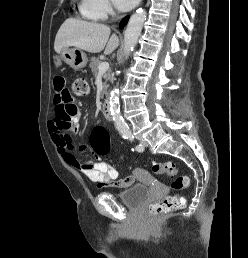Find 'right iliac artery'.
<instances>
[{"mask_svg": "<svg viewBox=\"0 0 248 258\" xmlns=\"http://www.w3.org/2000/svg\"><path fill=\"white\" fill-rule=\"evenodd\" d=\"M123 138H126V135H125V134L123 135Z\"/></svg>", "mask_w": 248, "mask_h": 258, "instance_id": "right-iliac-artery-1", "label": "right iliac artery"}]
</instances>
